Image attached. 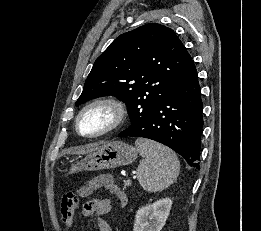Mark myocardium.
Returning <instances> with one entry per match:
<instances>
[{
  "label": "myocardium",
  "instance_id": "f54148a6",
  "mask_svg": "<svg viewBox=\"0 0 261 231\" xmlns=\"http://www.w3.org/2000/svg\"><path fill=\"white\" fill-rule=\"evenodd\" d=\"M95 106H106L110 108L113 112V121L111 124L106 127L105 129L94 133V134H83L79 129V121L82 115L89 109ZM128 118V108L126 104L119 98L116 97H101L96 98L87 104H85L80 111L78 112L76 119H75V130L76 132L84 137V138H97L108 134L112 131L119 129L123 124L126 122Z\"/></svg>",
  "mask_w": 261,
  "mask_h": 231
}]
</instances>
